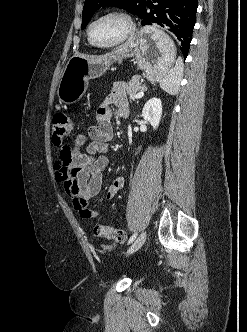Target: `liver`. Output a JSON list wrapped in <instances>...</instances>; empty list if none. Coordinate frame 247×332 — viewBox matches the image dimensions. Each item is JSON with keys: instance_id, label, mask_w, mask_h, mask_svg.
<instances>
[{"instance_id": "obj_1", "label": "liver", "mask_w": 247, "mask_h": 332, "mask_svg": "<svg viewBox=\"0 0 247 332\" xmlns=\"http://www.w3.org/2000/svg\"><path fill=\"white\" fill-rule=\"evenodd\" d=\"M77 56L85 58L87 60H101V59H103L105 57V56L95 57V56L82 55V54H78Z\"/></svg>"}]
</instances>
